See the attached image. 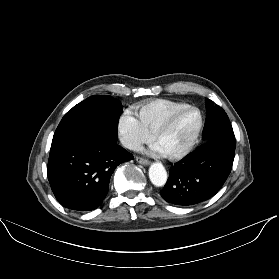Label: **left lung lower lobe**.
Returning <instances> with one entry per match:
<instances>
[{"label": "left lung lower lobe", "instance_id": "0a47b994", "mask_svg": "<svg viewBox=\"0 0 279 279\" xmlns=\"http://www.w3.org/2000/svg\"><path fill=\"white\" fill-rule=\"evenodd\" d=\"M235 144L212 139L171 166L161 196L169 203L188 206L214 196L228 178Z\"/></svg>", "mask_w": 279, "mask_h": 279}]
</instances>
